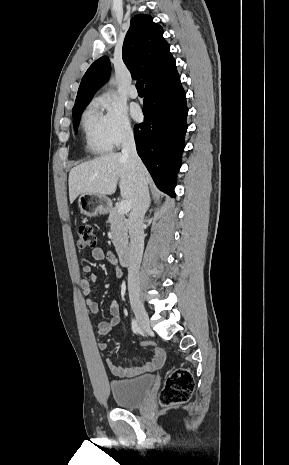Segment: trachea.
Masks as SVG:
<instances>
[{"mask_svg":"<svg viewBox=\"0 0 289 465\" xmlns=\"http://www.w3.org/2000/svg\"><path fill=\"white\" fill-rule=\"evenodd\" d=\"M136 88L140 92H144V82L142 80L137 81Z\"/></svg>","mask_w":289,"mask_h":465,"instance_id":"1","label":"trachea"}]
</instances>
